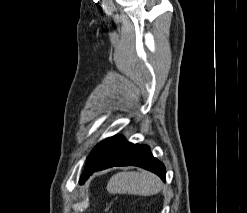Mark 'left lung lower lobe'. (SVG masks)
I'll use <instances>...</instances> for the list:
<instances>
[{
    "instance_id": "1",
    "label": "left lung lower lobe",
    "mask_w": 247,
    "mask_h": 213,
    "mask_svg": "<svg viewBox=\"0 0 247 213\" xmlns=\"http://www.w3.org/2000/svg\"><path fill=\"white\" fill-rule=\"evenodd\" d=\"M81 176L83 184L92 173L114 166H139L157 174L165 181V167L150 152L147 145L129 143L115 135L101 141L91 151Z\"/></svg>"
}]
</instances>
